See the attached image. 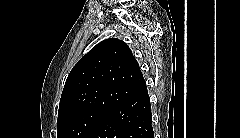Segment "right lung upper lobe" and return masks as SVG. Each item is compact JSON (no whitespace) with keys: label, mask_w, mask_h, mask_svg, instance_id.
<instances>
[{"label":"right lung upper lobe","mask_w":240,"mask_h":138,"mask_svg":"<svg viewBox=\"0 0 240 138\" xmlns=\"http://www.w3.org/2000/svg\"><path fill=\"white\" fill-rule=\"evenodd\" d=\"M146 84L128 45L110 38L98 43L69 73L58 119L83 110L110 111L143 92Z\"/></svg>","instance_id":"right-lung-upper-lobe-1"}]
</instances>
